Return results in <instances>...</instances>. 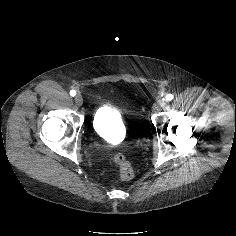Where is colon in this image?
<instances>
[{"mask_svg":"<svg viewBox=\"0 0 236 236\" xmlns=\"http://www.w3.org/2000/svg\"><path fill=\"white\" fill-rule=\"evenodd\" d=\"M113 159L119 168L120 180L128 181L132 179L134 175V171L130 162L127 160V158L123 154L117 153L114 155Z\"/></svg>","mask_w":236,"mask_h":236,"instance_id":"1","label":"colon"}]
</instances>
